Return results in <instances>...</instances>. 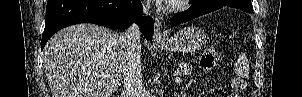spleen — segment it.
Instances as JSON below:
<instances>
[{"label":"spleen","instance_id":"3e777b00","mask_svg":"<svg viewBox=\"0 0 302 97\" xmlns=\"http://www.w3.org/2000/svg\"><path fill=\"white\" fill-rule=\"evenodd\" d=\"M235 73L238 76L244 77V78H248L249 77V66L247 63V59L245 56H241L236 65H235Z\"/></svg>","mask_w":302,"mask_h":97}]
</instances>
